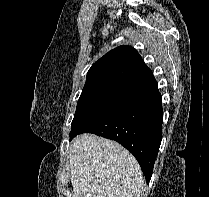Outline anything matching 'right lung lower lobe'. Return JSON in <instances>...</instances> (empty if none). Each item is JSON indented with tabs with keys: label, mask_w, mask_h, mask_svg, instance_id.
Masks as SVG:
<instances>
[{
	"label": "right lung lower lobe",
	"mask_w": 209,
	"mask_h": 197,
	"mask_svg": "<svg viewBox=\"0 0 209 197\" xmlns=\"http://www.w3.org/2000/svg\"><path fill=\"white\" fill-rule=\"evenodd\" d=\"M161 102L155 85L82 126L70 140L89 132L119 142L135 156L149 182L162 139Z\"/></svg>",
	"instance_id": "right-lung-lower-lobe-1"
}]
</instances>
